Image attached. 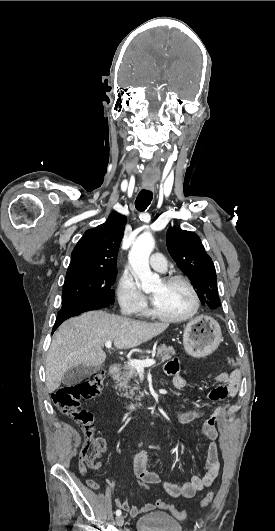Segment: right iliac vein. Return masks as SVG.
I'll list each match as a JSON object with an SVG mask.
<instances>
[{
  "instance_id": "obj_1",
  "label": "right iliac vein",
  "mask_w": 275,
  "mask_h": 531,
  "mask_svg": "<svg viewBox=\"0 0 275 531\" xmlns=\"http://www.w3.org/2000/svg\"><path fill=\"white\" fill-rule=\"evenodd\" d=\"M116 524L119 527L123 525V517L122 516H119V517L116 518Z\"/></svg>"
}]
</instances>
